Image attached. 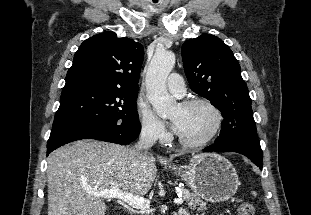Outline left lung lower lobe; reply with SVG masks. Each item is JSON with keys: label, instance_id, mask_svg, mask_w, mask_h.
I'll return each mask as SVG.
<instances>
[{"label": "left lung lower lobe", "instance_id": "1", "mask_svg": "<svg viewBox=\"0 0 311 215\" xmlns=\"http://www.w3.org/2000/svg\"><path fill=\"white\" fill-rule=\"evenodd\" d=\"M204 152H237L248 157L256 166L262 168L263 152L257 138L237 137L206 147Z\"/></svg>", "mask_w": 311, "mask_h": 215}]
</instances>
